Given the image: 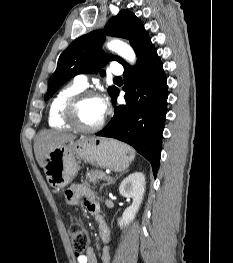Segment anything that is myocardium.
Returning a JSON list of instances; mask_svg holds the SVG:
<instances>
[{
	"instance_id": "f54148a6",
	"label": "myocardium",
	"mask_w": 233,
	"mask_h": 263,
	"mask_svg": "<svg viewBox=\"0 0 233 263\" xmlns=\"http://www.w3.org/2000/svg\"><path fill=\"white\" fill-rule=\"evenodd\" d=\"M89 98L100 99L101 97H100V95H98L97 93H95L93 91H89V90L80 91L68 100V102L65 106V110H64L65 120L71 126H73L76 130H78L80 132H84V133L97 132V131L102 129V127L105 123V118L103 115L101 120L99 121V123L96 124L95 126L86 127V126H83L81 124L79 116H78V110H79L81 104Z\"/></svg>"
}]
</instances>
